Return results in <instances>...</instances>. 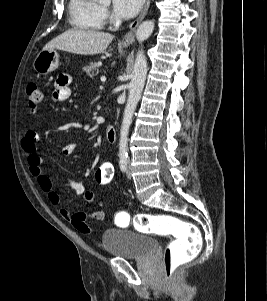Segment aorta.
<instances>
[{
  "instance_id": "762f6f07",
  "label": "aorta",
  "mask_w": 267,
  "mask_h": 301,
  "mask_svg": "<svg viewBox=\"0 0 267 301\" xmlns=\"http://www.w3.org/2000/svg\"><path fill=\"white\" fill-rule=\"evenodd\" d=\"M100 2H110V0H99ZM154 30L153 21H144L136 30V38L139 43L147 40ZM147 75V60L144 51L141 49L137 52L135 64L132 72L131 82L129 84V96L125 107L123 121L120 130L119 140V158L125 160L128 157V134L132 123L133 113L145 85Z\"/></svg>"
}]
</instances>
